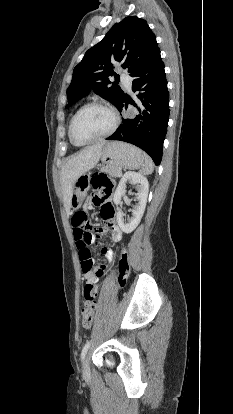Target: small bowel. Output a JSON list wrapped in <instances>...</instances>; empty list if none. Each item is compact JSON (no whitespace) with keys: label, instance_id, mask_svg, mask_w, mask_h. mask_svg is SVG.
<instances>
[{"label":"small bowel","instance_id":"obj_1","mask_svg":"<svg viewBox=\"0 0 233 414\" xmlns=\"http://www.w3.org/2000/svg\"><path fill=\"white\" fill-rule=\"evenodd\" d=\"M111 195H109V196H107L103 199L104 203H107V204L110 205V213L108 215H103L101 213V217L103 218V220L106 223V227L104 229V232L108 233L110 235L111 239L114 242H118L122 239V231H121L120 227L117 224V221L115 219V211H114V208H113L112 204L110 203ZM102 198H103V194L101 192H97L95 197H94V201L100 200ZM73 232H74V236H75L76 235V229L75 228L73 229ZM102 255L104 256L105 259L111 260L114 256V251L110 248L105 247V248L102 249ZM99 268H103L106 271V267L104 265H100L96 270L92 269V270L87 271V272L83 271V278H84L85 283L93 285L96 289V292L98 290V287H97L98 277L102 276L98 273Z\"/></svg>","mask_w":233,"mask_h":414}]
</instances>
